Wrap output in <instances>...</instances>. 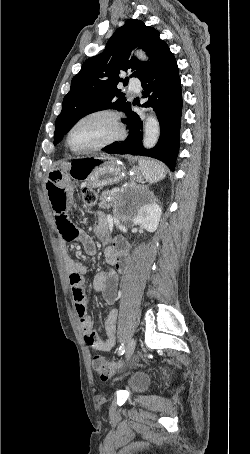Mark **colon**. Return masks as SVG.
Returning a JSON list of instances; mask_svg holds the SVG:
<instances>
[{
	"label": "colon",
	"instance_id": "colon-1",
	"mask_svg": "<svg viewBox=\"0 0 250 454\" xmlns=\"http://www.w3.org/2000/svg\"><path fill=\"white\" fill-rule=\"evenodd\" d=\"M82 201L85 205H94L97 201V193L91 188H85L82 191ZM93 367L102 380L110 378L120 367L119 362L111 361L102 356L93 358Z\"/></svg>",
	"mask_w": 250,
	"mask_h": 454
}]
</instances>
